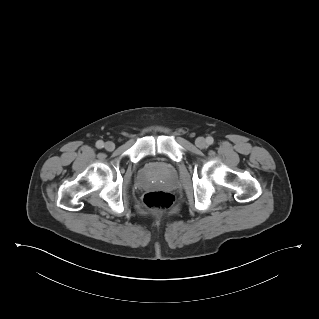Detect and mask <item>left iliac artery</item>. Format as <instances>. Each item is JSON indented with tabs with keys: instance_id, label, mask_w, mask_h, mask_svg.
I'll list each match as a JSON object with an SVG mask.
<instances>
[{
	"instance_id": "1",
	"label": "left iliac artery",
	"mask_w": 319,
	"mask_h": 319,
	"mask_svg": "<svg viewBox=\"0 0 319 319\" xmlns=\"http://www.w3.org/2000/svg\"><path fill=\"white\" fill-rule=\"evenodd\" d=\"M206 141H207V143H208L209 145H211V144H213L214 139H213L211 136H209V137H207Z\"/></svg>"
}]
</instances>
